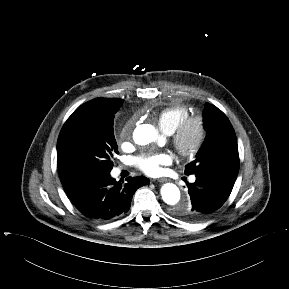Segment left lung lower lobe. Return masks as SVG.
<instances>
[{
    "mask_svg": "<svg viewBox=\"0 0 289 289\" xmlns=\"http://www.w3.org/2000/svg\"><path fill=\"white\" fill-rule=\"evenodd\" d=\"M236 179L215 173L196 175V181L187 183L191 204L181 217L200 221L219 209L230 195Z\"/></svg>",
    "mask_w": 289,
    "mask_h": 289,
    "instance_id": "obj_1",
    "label": "left lung lower lobe"
}]
</instances>
